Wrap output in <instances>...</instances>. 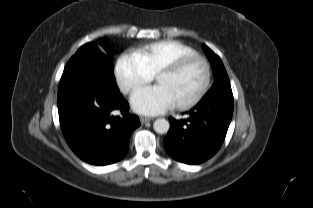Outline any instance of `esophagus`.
<instances>
[{
    "mask_svg": "<svg viewBox=\"0 0 313 208\" xmlns=\"http://www.w3.org/2000/svg\"><path fill=\"white\" fill-rule=\"evenodd\" d=\"M152 119L151 118H149V117H140V122H141V124H145V123H147V122H149V121H151Z\"/></svg>",
    "mask_w": 313,
    "mask_h": 208,
    "instance_id": "esophagus-1",
    "label": "esophagus"
}]
</instances>
